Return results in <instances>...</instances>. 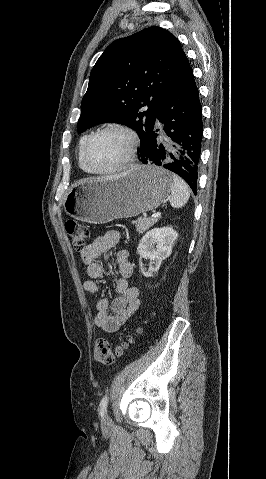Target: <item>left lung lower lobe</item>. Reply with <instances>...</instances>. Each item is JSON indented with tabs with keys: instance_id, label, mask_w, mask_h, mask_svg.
Here are the masks:
<instances>
[{
	"instance_id": "left-lung-lower-lobe-1",
	"label": "left lung lower lobe",
	"mask_w": 266,
	"mask_h": 479,
	"mask_svg": "<svg viewBox=\"0 0 266 479\" xmlns=\"http://www.w3.org/2000/svg\"><path fill=\"white\" fill-rule=\"evenodd\" d=\"M156 121L141 161L176 173L196 194L203 125L191 68L161 104Z\"/></svg>"
}]
</instances>
